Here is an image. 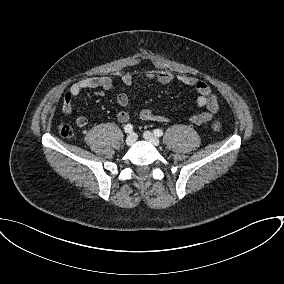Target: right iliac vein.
Returning <instances> with one entry per match:
<instances>
[{
  "instance_id": "63e3f726",
  "label": "right iliac vein",
  "mask_w": 284,
  "mask_h": 284,
  "mask_svg": "<svg viewBox=\"0 0 284 284\" xmlns=\"http://www.w3.org/2000/svg\"><path fill=\"white\" fill-rule=\"evenodd\" d=\"M136 140H137V135L135 133H130L127 136L125 142H126V145L131 146L132 144L135 143Z\"/></svg>"
}]
</instances>
